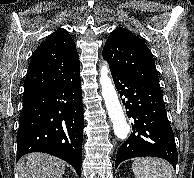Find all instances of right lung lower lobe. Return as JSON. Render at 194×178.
<instances>
[{
  "label": "right lung lower lobe",
  "mask_w": 194,
  "mask_h": 178,
  "mask_svg": "<svg viewBox=\"0 0 194 178\" xmlns=\"http://www.w3.org/2000/svg\"><path fill=\"white\" fill-rule=\"evenodd\" d=\"M83 105L81 80L24 93L17 134V160L44 152L70 163L80 176Z\"/></svg>",
  "instance_id": "1"
}]
</instances>
